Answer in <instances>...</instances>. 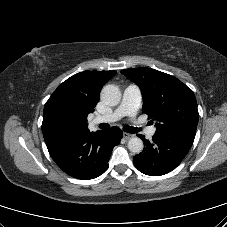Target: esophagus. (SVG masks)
<instances>
[{"label": "esophagus", "mask_w": 227, "mask_h": 227, "mask_svg": "<svg viewBox=\"0 0 227 227\" xmlns=\"http://www.w3.org/2000/svg\"><path fill=\"white\" fill-rule=\"evenodd\" d=\"M123 137L128 140V139L133 138L134 137V134L124 132L123 133Z\"/></svg>", "instance_id": "34e87169"}]
</instances>
